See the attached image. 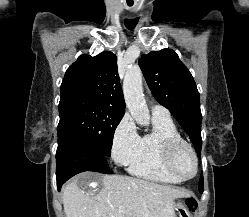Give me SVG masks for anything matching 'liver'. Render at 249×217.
<instances>
[{
  "instance_id": "6515ba94",
  "label": "liver",
  "mask_w": 249,
  "mask_h": 217,
  "mask_svg": "<svg viewBox=\"0 0 249 217\" xmlns=\"http://www.w3.org/2000/svg\"><path fill=\"white\" fill-rule=\"evenodd\" d=\"M101 182L97 193L80 188ZM179 189L121 175L98 176L85 173L62 190L66 217H174V200L187 197Z\"/></svg>"
}]
</instances>
